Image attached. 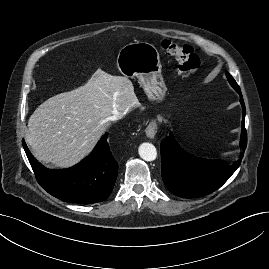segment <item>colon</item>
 Segmentation results:
<instances>
[{
    "label": "colon",
    "instance_id": "5ec220e1",
    "mask_svg": "<svg viewBox=\"0 0 269 269\" xmlns=\"http://www.w3.org/2000/svg\"><path fill=\"white\" fill-rule=\"evenodd\" d=\"M161 47L176 59L178 70L182 75H192L198 69L200 60L190 45L164 40Z\"/></svg>",
    "mask_w": 269,
    "mask_h": 269
}]
</instances>
